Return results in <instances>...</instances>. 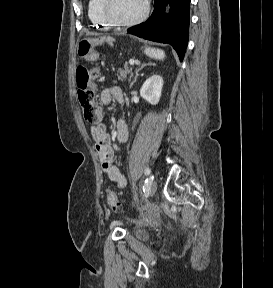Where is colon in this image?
I'll return each mask as SVG.
<instances>
[{
  "label": "colon",
  "instance_id": "1",
  "mask_svg": "<svg viewBox=\"0 0 273 288\" xmlns=\"http://www.w3.org/2000/svg\"><path fill=\"white\" fill-rule=\"evenodd\" d=\"M78 54L85 62H94L98 57L96 49L88 39H84L79 43ZM97 75V69L88 70L84 66H79L76 69L77 98L82 109L83 117L85 121L89 123H96L100 119V110L95 100V92L92 84V80L96 78ZM106 202L114 212L120 211V203L112 190L107 191Z\"/></svg>",
  "mask_w": 273,
  "mask_h": 288
}]
</instances>
